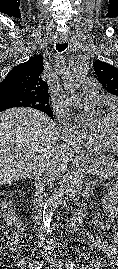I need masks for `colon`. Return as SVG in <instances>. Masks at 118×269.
<instances>
[{
  "mask_svg": "<svg viewBox=\"0 0 118 269\" xmlns=\"http://www.w3.org/2000/svg\"><path fill=\"white\" fill-rule=\"evenodd\" d=\"M0 221L4 223V237L1 244L10 245L17 240L20 233V223L14 216L12 206L7 196L0 192Z\"/></svg>",
  "mask_w": 118,
  "mask_h": 269,
  "instance_id": "obj_1",
  "label": "colon"
}]
</instances>
